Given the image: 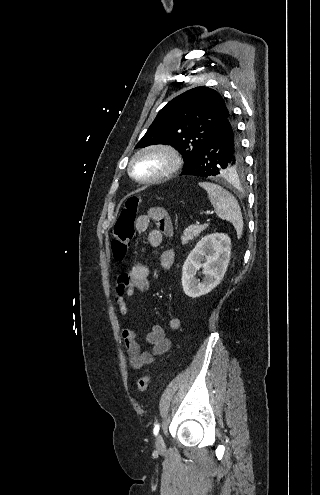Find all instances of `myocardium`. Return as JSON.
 Listing matches in <instances>:
<instances>
[{
    "label": "myocardium",
    "mask_w": 320,
    "mask_h": 495,
    "mask_svg": "<svg viewBox=\"0 0 320 495\" xmlns=\"http://www.w3.org/2000/svg\"><path fill=\"white\" fill-rule=\"evenodd\" d=\"M158 155L164 158V168L150 177H139L134 172V164L143 156ZM181 166V159L178 152L169 145L154 144L137 150L128 163V173L137 182L142 184H153L162 181L175 174Z\"/></svg>",
    "instance_id": "f54148a6"
}]
</instances>
